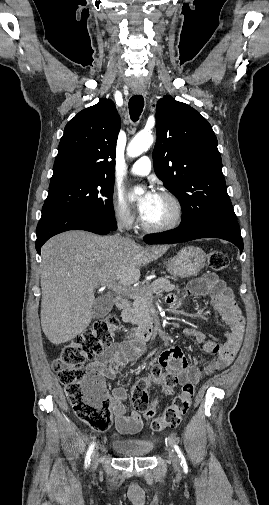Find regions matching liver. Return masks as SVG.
<instances>
[{"label":"liver","instance_id":"6515ba94","mask_svg":"<svg viewBox=\"0 0 269 505\" xmlns=\"http://www.w3.org/2000/svg\"><path fill=\"white\" fill-rule=\"evenodd\" d=\"M168 247H143L118 235L68 231L41 249V326L48 340L68 342L92 320L94 290L115 283L130 286L140 267L160 258Z\"/></svg>","mask_w":269,"mask_h":505}]
</instances>
